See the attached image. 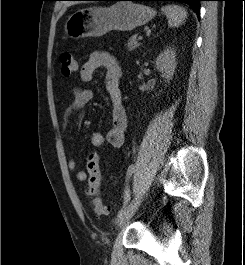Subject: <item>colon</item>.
Here are the masks:
<instances>
[{"instance_id":"5ec220e1","label":"colon","mask_w":245,"mask_h":265,"mask_svg":"<svg viewBox=\"0 0 245 265\" xmlns=\"http://www.w3.org/2000/svg\"><path fill=\"white\" fill-rule=\"evenodd\" d=\"M61 70L63 75L70 76L77 70V63L72 53L63 52L60 55ZM86 169L88 173L89 194L93 197V207L97 215L106 214L109 209L106 207L99 194V188L102 180L99 157L95 152H91L87 157Z\"/></svg>"}]
</instances>
